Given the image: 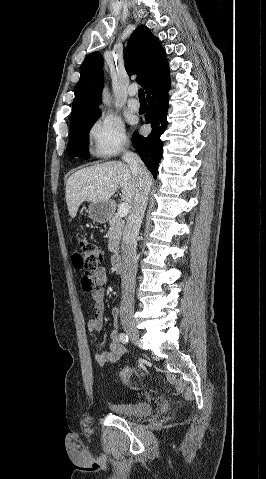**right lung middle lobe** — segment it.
I'll return each mask as SVG.
<instances>
[{"label":"right lung middle lobe","mask_w":266,"mask_h":479,"mask_svg":"<svg viewBox=\"0 0 266 479\" xmlns=\"http://www.w3.org/2000/svg\"><path fill=\"white\" fill-rule=\"evenodd\" d=\"M101 114L86 117L70 123V139L68 153L71 158L75 156L87 159L88 157V135L92 125Z\"/></svg>","instance_id":"dd1d6c3e"}]
</instances>
